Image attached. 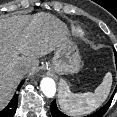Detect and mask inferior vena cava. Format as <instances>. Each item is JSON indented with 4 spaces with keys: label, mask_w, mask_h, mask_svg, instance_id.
<instances>
[{
    "label": "inferior vena cava",
    "mask_w": 117,
    "mask_h": 117,
    "mask_svg": "<svg viewBox=\"0 0 117 117\" xmlns=\"http://www.w3.org/2000/svg\"><path fill=\"white\" fill-rule=\"evenodd\" d=\"M20 71H21L23 74H25V73L28 72V69H27V68H22Z\"/></svg>",
    "instance_id": "obj_1"
}]
</instances>
